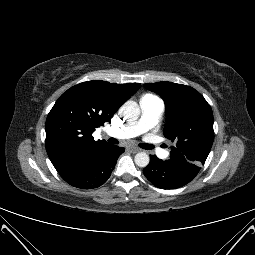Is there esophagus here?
<instances>
[{"mask_svg":"<svg viewBox=\"0 0 255 255\" xmlns=\"http://www.w3.org/2000/svg\"><path fill=\"white\" fill-rule=\"evenodd\" d=\"M129 151H130L131 153H137V152L140 151V149H139V148H136V147H130V148H129Z\"/></svg>","mask_w":255,"mask_h":255,"instance_id":"esophagus-1","label":"esophagus"}]
</instances>
